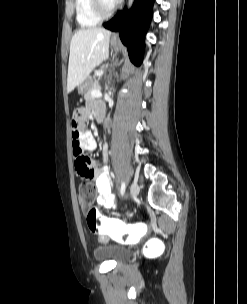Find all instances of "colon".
Wrapping results in <instances>:
<instances>
[{"instance_id": "5ec220e1", "label": "colon", "mask_w": 247, "mask_h": 304, "mask_svg": "<svg viewBox=\"0 0 247 304\" xmlns=\"http://www.w3.org/2000/svg\"><path fill=\"white\" fill-rule=\"evenodd\" d=\"M77 163L83 168L86 159H77ZM94 196L95 189L89 181L80 184L78 200L86 213L87 225L92 233L100 235L101 238H117L118 246H137L138 240L129 238H145L146 224H121L102 216L93 206ZM143 253H147V259H160V253H164L162 237H149V241H145V246H143Z\"/></svg>"}]
</instances>
